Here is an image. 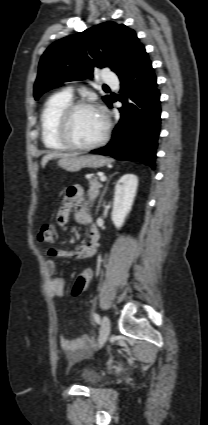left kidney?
Here are the masks:
<instances>
[{
    "label": "left kidney",
    "instance_id": "5707ae66",
    "mask_svg": "<svg viewBox=\"0 0 208 425\" xmlns=\"http://www.w3.org/2000/svg\"><path fill=\"white\" fill-rule=\"evenodd\" d=\"M138 187V177L134 174L123 175L115 185L112 221L117 229L121 228L129 214Z\"/></svg>",
    "mask_w": 208,
    "mask_h": 425
}]
</instances>
